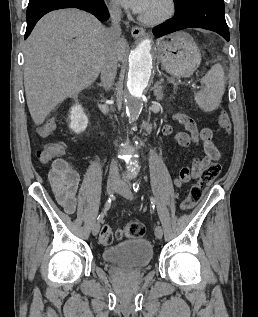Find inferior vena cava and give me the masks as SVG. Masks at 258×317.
<instances>
[{
  "label": "inferior vena cava",
  "mask_w": 258,
  "mask_h": 317,
  "mask_svg": "<svg viewBox=\"0 0 258 317\" xmlns=\"http://www.w3.org/2000/svg\"><path fill=\"white\" fill-rule=\"evenodd\" d=\"M109 10L112 24L110 28H107L105 50L100 64L101 80L106 88L112 86L114 78L116 76L118 62L117 50L118 42L121 36V8H119V6H116V4H111ZM109 179H120V174L118 172L116 161H112L111 163Z\"/></svg>",
  "instance_id": "obj_1"
}]
</instances>
